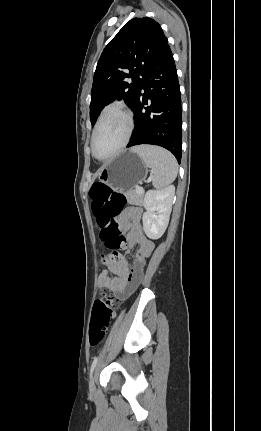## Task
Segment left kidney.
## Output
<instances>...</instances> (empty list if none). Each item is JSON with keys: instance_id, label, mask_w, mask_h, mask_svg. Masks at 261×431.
<instances>
[{"instance_id": "5707ae66", "label": "left kidney", "mask_w": 261, "mask_h": 431, "mask_svg": "<svg viewBox=\"0 0 261 431\" xmlns=\"http://www.w3.org/2000/svg\"><path fill=\"white\" fill-rule=\"evenodd\" d=\"M174 187L149 190L144 198L143 229L148 238L159 239L165 232L172 210Z\"/></svg>"}]
</instances>
